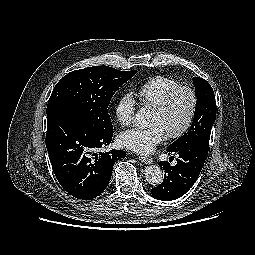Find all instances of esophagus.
<instances>
[{
	"mask_svg": "<svg viewBox=\"0 0 255 255\" xmlns=\"http://www.w3.org/2000/svg\"><path fill=\"white\" fill-rule=\"evenodd\" d=\"M139 160L145 164H152L153 163V159L149 158V157H139Z\"/></svg>",
	"mask_w": 255,
	"mask_h": 255,
	"instance_id": "esophagus-1",
	"label": "esophagus"
}]
</instances>
